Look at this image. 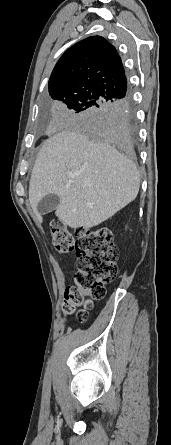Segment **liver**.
<instances>
[{"mask_svg": "<svg viewBox=\"0 0 171 445\" xmlns=\"http://www.w3.org/2000/svg\"><path fill=\"white\" fill-rule=\"evenodd\" d=\"M139 186L136 165L114 146L64 129L50 136L37 156L29 201L38 214L39 201L56 194L60 202L55 215L71 228L87 229L132 202Z\"/></svg>", "mask_w": 171, "mask_h": 445, "instance_id": "obj_1", "label": "liver"}]
</instances>
